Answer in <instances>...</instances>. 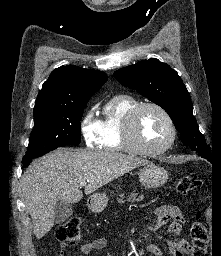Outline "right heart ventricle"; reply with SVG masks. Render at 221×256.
I'll return each instance as SVG.
<instances>
[{
  "label": "right heart ventricle",
  "mask_w": 221,
  "mask_h": 256,
  "mask_svg": "<svg viewBox=\"0 0 221 256\" xmlns=\"http://www.w3.org/2000/svg\"><path fill=\"white\" fill-rule=\"evenodd\" d=\"M139 101L129 94H117L110 98L103 109L101 148L110 152L136 151L124 138V127L129 112Z\"/></svg>",
  "instance_id": "right-heart-ventricle-1"
}]
</instances>
